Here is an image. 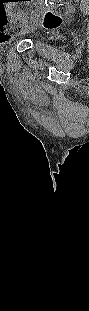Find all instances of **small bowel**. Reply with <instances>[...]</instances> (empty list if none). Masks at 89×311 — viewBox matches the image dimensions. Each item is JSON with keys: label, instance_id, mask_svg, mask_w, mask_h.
Listing matches in <instances>:
<instances>
[{"label": "small bowel", "instance_id": "c3829d8e", "mask_svg": "<svg viewBox=\"0 0 89 311\" xmlns=\"http://www.w3.org/2000/svg\"><path fill=\"white\" fill-rule=\"evenodd\" d=\"M11 16L13 17L14 15H11ZM14 38H15V35L12 34V33H5V34H2V35L0 36V43H1L2 45L9 44L10 42H12V41L14 40Z\"/></svg>", "mask_w": 89, "mask_h": 311}]
</instances>
